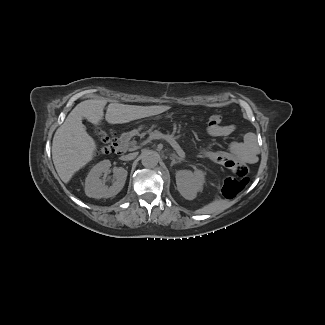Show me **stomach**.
Instances as JSON below:
<instances>
[{
	"mask_svg": "<svg viewBox=\"0 0 325 325\" xmlns=\"http://www.w3.org/2000/svg\"><path fill=\"white\" fill-rule=\"evenodd\" d=\"M134 134H136V132H131V133H130V135H134Z\"/></svg>",
	"mask_w": 325,
	"mask_h": 325,
	"instance_id": "1",
	"label": "stomach"
}]
</instances>
